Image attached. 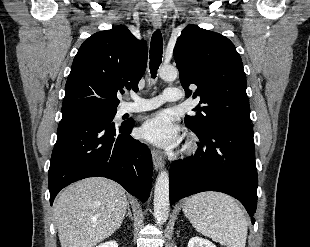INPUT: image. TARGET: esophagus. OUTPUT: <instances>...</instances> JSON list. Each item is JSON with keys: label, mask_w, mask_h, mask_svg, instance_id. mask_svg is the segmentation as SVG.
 Returning <instances> with one entry per match:
<instances>
[{"label": "esophagus", "mask_w": 310, "mask_h": 247, "mask_svg": "<svg viewBox=\"0 0 310 247\" xmlns=\"http://www.w3.org/2000/svg\"><path fill=\"white\" fill-rule=\"evenodd\" d=\"M152 24L154 28L161 27V17L158 14L153 15ZM152 159L155 170H160L164 166V160L162 156L155 150H152Z\"/></svg>", "instance_id": "34e87169"}]
</instances>
